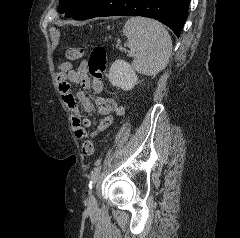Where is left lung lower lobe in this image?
<instances>
[{
    "instance_id": "0a47b994",
    "label": "left lung lower lobe",
    "mask_w": 240,
    "mask_h": 238,
    "mask_svg": "<svg viewBox=\"0 0 240 238\" xmlns=\"http://www.w3.org/2000/svg\"><path fill=\"white\" fill-rule=\"evenodd\" d=\"M190 0H91L74 19L85 20L102 16H142L167 25L176 36L188 16Z\"/></svg>"
}]
</instances>
